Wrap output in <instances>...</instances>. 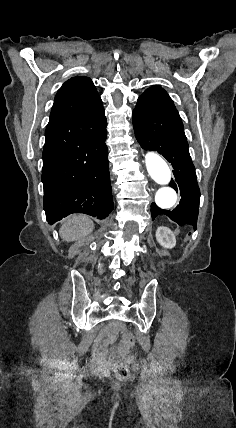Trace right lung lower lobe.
I'll return each instance as SVG.
<instances>
[{
    "label": "right lung lower lobe",
    "instance_id": "98d812e1",
    "mask_svg": "<svg viewBox=\"0 0 236 428\" xmlns=\"http://www.w3.org/2000/svg\"><path fill=\"white\" fill-rule=\"evenodd\" d=\"M106 126L104 108L47 125L42 182L49 224L72 213L103 219L113 210Z\"/></svg>",
    "mask_w": 236,
    "mask_h": 428
}]
</instances>
